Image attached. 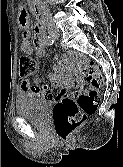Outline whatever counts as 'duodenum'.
Masks as SVG:
<instances>
[{"label": "duodenum", "mask_w": 123, "mask_h": 167, "mask_svg": "<svg viewBox=\"0 0 123 167\" xmlns=\"http://www.w3.org/2000/svg\"><path fill=\"white\" fill-rule=\"evenodd\" d=\"M34 12L37 15V17L40 19L41 24L44 23V13H43V10L41 8L39 0H35Z\"/></svg>", "instance_id": "duodenum-1"}]
</instances>
